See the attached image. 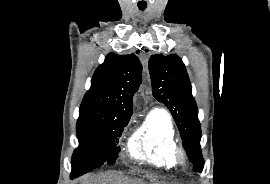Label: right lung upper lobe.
Listing matches in <instances>:
<instances>
[{
    "mask_svg": "<svg viewBox=\"0 0 270 184\" xmlns=\"http://www.w3.org/2000/svg\"><path fill=\"white\" fill-rule=\"evenodd\" d=\"M141 71L135 54H108L105 62L96 69L81 106L97 117L129 121L132 97L141 83Z\"/></svg>",
    "mask_w": 270,
    "mask_h": 184,
    "instance_id": "1",
    "label": "right lung upper lobe"
}]
</instances>
